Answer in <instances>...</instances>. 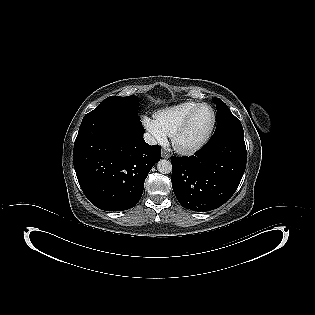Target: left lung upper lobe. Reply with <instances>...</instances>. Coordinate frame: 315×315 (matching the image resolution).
<instances>
[{"instance_id":"left-lung-upper-lobe-1","label":"left lung upper lobe","mask_w":315,"mask_h":315,"mask_svg":"<svg viewBox=\"0 0 315 315\" xmlns=\"http://www.w3.org/2000/svg\"><path fill=\"white\" fill-rule=\"evenodd\" d=\"M214 101L217 108V126L211 140L223 135L244 136L241 122L230 112L228 106L219 98Z\"/></svg>"}]
</instances>
